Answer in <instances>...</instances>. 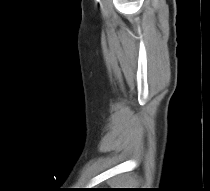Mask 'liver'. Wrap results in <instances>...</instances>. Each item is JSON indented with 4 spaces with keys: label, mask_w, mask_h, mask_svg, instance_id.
Instances as JSON below:
<instances>
[{
    "label": "liver",
    "mask_w": 210,
    "mask_h": 191,
    "mask_svg": "<svg viewBox=\"0 0 210 191\" xmlns=\"http://www.w3.org/2000/svg\"><path fill=\"white\" fill-rule=\"evenodd\" d=\"M122 179H123V178L119 177V178L114 179L113 181H114V183H118V182H120Z\"/></svg>",
    "instance_id": "1"
}]
</instances>
